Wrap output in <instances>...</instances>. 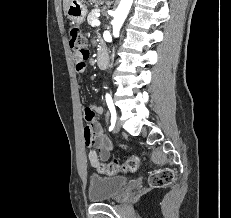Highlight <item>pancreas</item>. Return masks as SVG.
<instances>
[{
    "label": "pancreas",
    "mask_w": 231,
    "mask_h": 218,
    "mask_svg": "<svg viewBox=\"0 0 231 218\" xmlns=\"http://www.w3.org/2000/svg\"><path fill=\"white\" fill-rule=\"evenodd\" d=\"M99 11H100V10L96 8V9H93V10L89 13L87 20H88V23H89L90 25L92 24V22H93L94 20H97L96 13H98Z\"/></svg>",
    "instance_id": "1"
}]
</instances>
